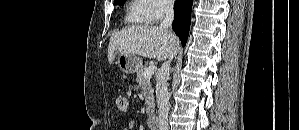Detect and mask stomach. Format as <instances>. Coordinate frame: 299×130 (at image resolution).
<instances>
[{
  "label": "stomach",
  "mask_w": 299,
  "mask_h": 130,
  "mask_svg": "<svg viewBox=\"0 0 299 130\" xmlns=\"http://www.w3.org/2000/svg\"><path fill=\"white\" fill-rule=\"evenodd\" d=\"M116 63L126 74L136 72L142 65L141 59L134 54H119Z\"/></svg>",
  "instance_id": "obj_1"
}]
</instances>
